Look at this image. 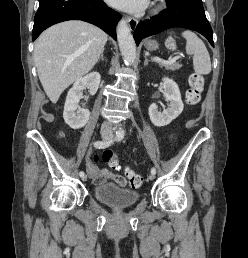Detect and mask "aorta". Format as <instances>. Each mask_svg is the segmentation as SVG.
<instances>
[{"label":"aorta","mask_w":248,"mask_h":258,"mask_svg":"<svg viewBox=\"0 0 248 258\" xmlns=\"http://www.w3.org/2000/svg\"><path fill=\"white\" fill-rule=\"evenodd\" d=\"M117 40L125 64L132 65L136 59V44L125 20H121L117 25Z\"/></svg>","instance_id":"762f6f07"}]
</instances>
